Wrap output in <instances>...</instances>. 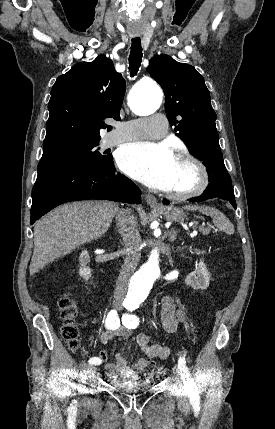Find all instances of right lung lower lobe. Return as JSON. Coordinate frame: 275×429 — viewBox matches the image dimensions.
I'll use <instances>...</instances> for the list:
<instances>
[{"mask_svg": "<svg viewBox=\"0 0 275 429\" xmlns=\"http://www.w3.org/2000/svg\"><path fill=\"white\" fill-rule=\"evenodd\" d=\"M140 194L130 179L116 173L114 165L50 173L37 178L32 189L31 224L66 202L102 199L139 204Z\"/></svg>", "mask_w": 275, "mask_h": 429, "instance_id": "right-lung-lower-lobe-1", "label": "right lung lower lobe"}]
</instances>
